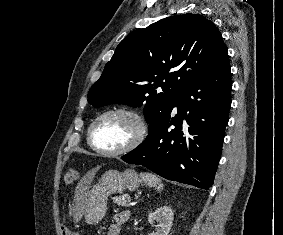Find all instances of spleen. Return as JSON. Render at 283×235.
<instances>
[{
  "label": "spleen",
  "mask_w": 283,
  "mask_h": 235,
  "mask_svg": "<svg viewBox=\"0 0 283 235\" xmlns=\"http://www.w3.org/2000/svg\"><path fill=\"white\" fill-rule=\"evenodd\" d=\"M141 179L151 187H154L157 189V191H161L163 189V183L161 182V179L157 177L155 174L144 172L140 173Z\"/></svg>",
  "instance_id": "obj_1"
}]
</instances>
